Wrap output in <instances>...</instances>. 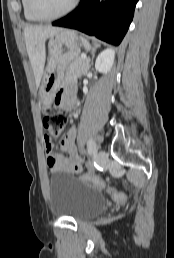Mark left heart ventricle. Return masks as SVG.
Instances as JSON below:
<instances>
[{
    "instance_id": "left-heart-ventricle-1",
    "label": "left heart ventricle",
    "mask_w": 174,
    "mask_h": 258,
    "mask_svg": "<svg viewBox=\"0 0 174 258\" xmlns=\"http://www.w3.org/2000/svg\"><path fill=\"white\" fill-rule=\"evenodd\" d=\"M73 0H34L37 11L45 16L56 15L65 10Z\"/></svg>"
}]
</instances>
